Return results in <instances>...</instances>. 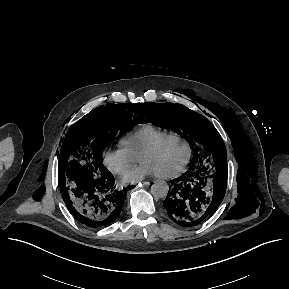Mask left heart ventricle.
I'll list each match as a JSON object with an SVG mask.
<instances>
[{"instance_id":"obj_1","label":"left heart ventricle","mask_w":289,"mask_h":289,"mask_svg":"<svg viewBox=\"0 0 289 289\" xmlns=\"http://www.w3.org/2000/svg\"><path fill=\"white\" fill-rule=\"evenodd\" d=\"M187 149L184 143L177 139L166 141L157 151L144 155L140 161L148 163L156 174L171 173L184 163Z\"/></svg>"}]
</instances>
